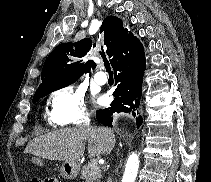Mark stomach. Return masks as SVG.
Instances as JSON below:
<instances>
[{
  "mask_svg": "<svg viewBox=\"0 0 211 182\" xmlns=\"http://www.w3.org/2000/svg\"><path fill=\"white\" fill-rule=\"evenodd\" d=\"M80 170L78 161L64 162L61 167V176L64 179H74Z\"/></svg>",
  "mask_w": 211,
  "mask_h": 182,
  "instance_id": "obj_1",
  "label": "stomach"
}]
</instances>
